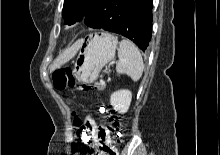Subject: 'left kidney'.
Returning a JSON list of instances; mask_svg holds the SVG:
<instances>
[{
    "mask_svg": "<svg viewBox=\"0 0 220 155\" xmlns=\"http://www.w3.org/2000/svg\"><path fill=\"white\" fill-rule=\"evenodd\" d=\"M132 99V93L129 90H118L112 93L110 103L115 111L124 114L128 111Z\"/></svg>",
    "mask_w": 220,
    "mask_h": 155,
    "instance_id": "1",
    "label": "left kidney"
}]
</instances>
